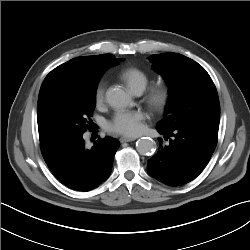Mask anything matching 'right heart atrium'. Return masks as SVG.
<instances>
[{
    "mask_svg": "<svg viewBox=\"0 0 250 250\" xmlns=\"http://www.w3.org/2000/svg\"><path fill=\"white\" fill-rule=\"evenodd\" d=\"M105 90H106V81L100 80L97 83L95 92H94L95 103L97 105H101L104 102Z\"/></svg>",
    "mask_w": 250,
    "mask_h": 250,
    "instance_id": "right-heart-atrium-1",
    "label": "right heart atrium"
}]
</instances>
